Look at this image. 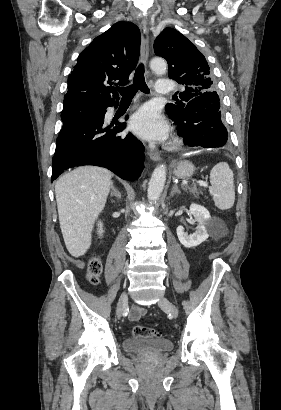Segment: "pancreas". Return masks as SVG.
Masks as SVG:
<instances>
[{
  "instance_id": "obj_1",
  "label": "pancreas",
  "mask_w": 281,
  "mask_h": 410,
  "mask_svg": "<svg viewBox=\"0 0 281 410\" xmlns=\"http://www.w3.org/2000/svg\"><path fill=\"white\" fill-rule=\"evenodd\" d=\"M187 190L192 193L195 197H198L200 194H202V192L197 188V187H189L187 188Z\"/></svg>"
}]
</instances>
